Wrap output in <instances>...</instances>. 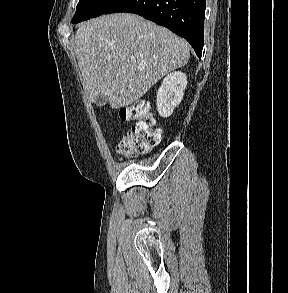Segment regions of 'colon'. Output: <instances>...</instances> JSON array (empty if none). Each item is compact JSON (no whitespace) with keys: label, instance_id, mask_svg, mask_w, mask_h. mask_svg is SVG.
Here are the masks:
<instances>
[{"label":"colon","instance_id":"obj_1","mask_svg":"<svg viewBox=\"0 0 288 293\" xmlns=\"http://www.w3.org/2000/svg\"><path fill=\"white\" fill-rule=\"evenodd\" d=\"M120 118L133 123L132 127L118 139L116 153L120 158L146 153L160 142L161 129L156 127L155 119L145 102L121 108Z\"/></svg>","mask_w":288,"mask_h":293}]
</instances>
